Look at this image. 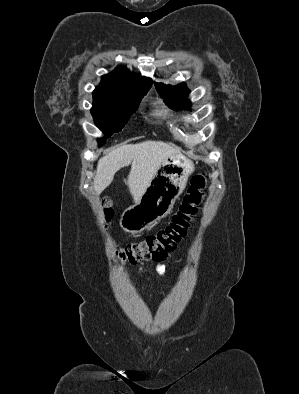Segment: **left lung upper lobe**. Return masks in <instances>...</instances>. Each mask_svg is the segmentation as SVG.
I'll return each mask as SVG.
<instances>
[{"label": "left lung upper lobe", "instance_id": "left-lung-upper-lobe-1", "mask_svg": "<svg viewBox=\"0 0 299 394\" xmlns=\"http://www.w3.org/2000/svg\"><path fill=\"white\" fill-rule=\"evenodd\" d=\"M155 86L166 103L173 109L180 110L190 108V103L187 100L189 91L185 83H181L174 87L162 83H155Z\"/></svg>", "mask_w": 299, "mask_h": 394}]
</instances>
